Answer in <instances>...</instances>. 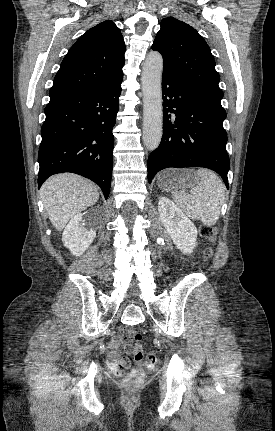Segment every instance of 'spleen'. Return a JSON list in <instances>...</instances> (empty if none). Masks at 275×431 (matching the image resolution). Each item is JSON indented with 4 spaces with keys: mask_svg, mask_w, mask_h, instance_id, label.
Returning a JSON list of instances; mask_svg holds the SVG:
<instances>
[{
    "mask_svg": "<svg viewBox=\"0 0 275 431\" xmlns=\"http://www.w3.org/2000/svg\"><path fill=\"white\" fill-rule=\"evenodd\" d=\"M195 174L198 183L185 195L172 191V198L179 208L191 219L201 220L205 226H213L219 219L225 198L222 180L208 169H198Z\"/></svg>",
    "mask_w": 275,
    "mask_h": 431,
    "instance_id": "obj_1",
    "label": "spleen"
}]
</instances>
